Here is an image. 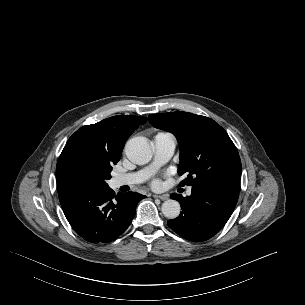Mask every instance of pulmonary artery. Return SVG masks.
Returning a JSON list of instances; mask_svg holds the SVG:
<instances>
[{
  "instance_id": "pulmonary-artery-1",
  "label": "pulmonary artery",
  "mask_w": 305,
  "mask_h": 305,
  "mask_svg": "<svg viewBox=\"0 0 305 305\" xmlns=\"http://www.w3.org/2000/svg\"><path fill=\"white\" fill-rule=\"evenodd\" d=\"M153 145L155 151L154 162L140 171L115 175L112 179L114 187L139 184L147 180L159 166L172 157L176 148V139L169 133H158L154 137ZM190 192L191 190L189 189L188 193Z\"/></svg>"
}]
</instances>
